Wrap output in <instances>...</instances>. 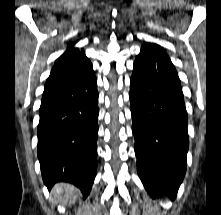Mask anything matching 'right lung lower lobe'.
<instances>
[{
	"instance_id": "98d812e1",
	"label": "right lung lower lobe",
	"mask_w": 221,
	"mask_h": 215,
	"mask_svg": "<svg viewBox=\"0 0 221 215\" xmlns=\"http://www.w3.org/2000/svg\"><path fill=\"white\" fill-rule=\"evenodd\" d=\"M98 92L93 70L43 93L38 125V158L50 190L76 185L84 198L96 176Z\"/></svg>"
}]
</instances>
